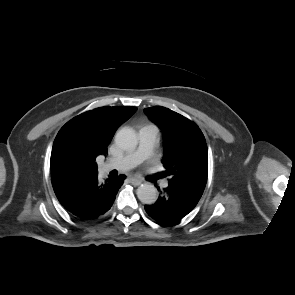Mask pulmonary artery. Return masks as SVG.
I'll return each instance as SVG.
<instances>
[{
	"mask_svg": "<svg viewBox=\"0 0 295 295\" xmlns=\"http://www.w3.org/2000/svg\"><path fill=\"white\" fill-rule=\"evenodd\" d=\"M139 145L136 150L125 154L119 159H112L103 165L105 171L117 169L120 171L129 170L151 155L157 141V131L152 126H144L138 132ZM167 181L162 182L166 187Z\"/></svg>",
	"mask_w": 295,
	"mask_h": 295,
	"instance_id": "obj_1",
	"label": "pulmonary artery"
}]
</instances>
